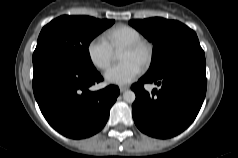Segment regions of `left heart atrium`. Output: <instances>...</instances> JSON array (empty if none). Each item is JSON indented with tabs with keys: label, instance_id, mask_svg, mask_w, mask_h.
Instances as JSON below:
<instances>
[{
	"label": "left heart atrium",
	"instance_id": "39dd6f15",
	"mask_svg": "<svg viewBox=\"0 0 238 158\" xmlns=\"http://www.w3.org/2000/svg\"><path fill=\"white\" fill-rule=\"evenodd\" d=\"M141 72V66L134 61L127 60L115 64L107 69L104 77L108 83L124 85L133 81Z\"/></svg>",
	"mask_w": 238,
	"mask_h": 158
}]
</instances>
